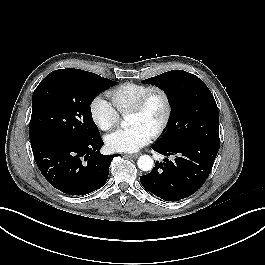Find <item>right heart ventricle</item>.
<instances>
[{"instance_id": "right-heart-ventricle-1", "label": "right heart ventricle", "mask_w": 265, "mask_h": 265, "mask_svg": "<svg viewBox=\"0 0 265 265\" xmlns=\"http://www.w3.org/2000/svg\"><path fill=\"white\" fill-rule=\"evenodd\" d=\"M152 86L142 83H124L109 91V96L116 109L124 114L136 104V102Z\"/></svg>"}]
</instances>
